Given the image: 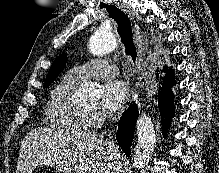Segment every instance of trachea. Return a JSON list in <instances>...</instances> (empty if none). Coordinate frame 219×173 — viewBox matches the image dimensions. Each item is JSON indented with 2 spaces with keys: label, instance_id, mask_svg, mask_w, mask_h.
I'll list each match as a JSON object with an SVG mask.
<instances>
[{
  "label": "trachea",
  "instance_id": "trachea-1",
  "mask_svg": "<svg viewBox=\"0 0 219 173\" xmlns=\"http://www.w3.org/2000/svg\"><path fill=\"white\" fill-rule=\"evenodd\" d=\"M105 8L109 14V17L114 19L118 25V34L121 38L122 44L125 47L126 55L130 56L133 62H135L137 51L133 42V33L130 19L123 11L115 6H105Z\"/></svg>",
  "mask_w": 219,
  "mask_h": 173
}]
</instances>
